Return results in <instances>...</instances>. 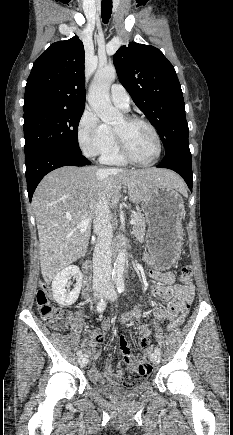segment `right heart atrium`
Returning <instances> with one entry per match:
<instances>
[{
	"label": "right heart atrium",
	"mask_w": 233,
	"mask_h": 435,
	"mask_svg": "<svg viewBox=\"0 0 233 435\" xmlns=\"http://www.w3.org/2000/svg\"><path fill=\"white\" fill-rule=\"evenodd\" d=\"M77 140L83 153L89 157L102 155L110 144L107 126L94 111L86 109L77 126Z\"/></svg>",
	"instance_id": "obj_1"
}]
</instances>
